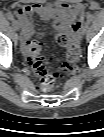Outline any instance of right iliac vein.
Listing matches in <instances>:
<instances>
[{
  "mask_svg": "<svg viewBox=\"0 0 104 137\" xmlns=\"http://www.w3.org/2000/svg\"><path fill=\"white\" fill-rule=\"evenodd\" d=\"M12 24H13V27L15 30L18 31L20 29V25H19V22L17 20L13 19Z\"/></svg>",
  "mask_w": 104,
  "mask_h": 137,
  "instance_id": "obj_1",
  "label": "right iliac vein"
}]
</instances>
